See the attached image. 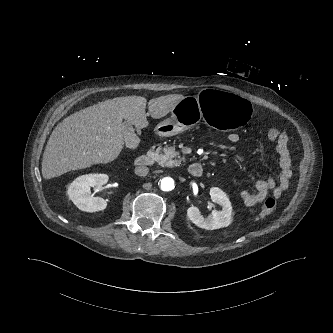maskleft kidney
<instances>
[{
    "instance_id": "1",
    "label": "left kidney",
    "mask_w": 333,
    "mask_h": 333,
    "mask_svg": "<svg viewBox=\"0 0 333 333\" xmlns=\"http://www.w3.org/2000/svg\"><path fill=\"white\" fill-rule=\"evenodd\" d=\"M210 196L213 202L222 206V210H213L210 217L204 218L199 209L192 206L187 210L188 218L196 226L206 230H214L229 226L232 221V206L228 196L217 187H212L210 189Z\"/></svg>"
}]
</instances>
